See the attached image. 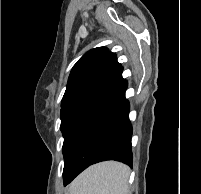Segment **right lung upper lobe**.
I'll return each mask as SVG.
<instances>
[{
	"mask_svg": "<svg viewBox=\"0 0 201 194\" xmlns=\"http://www.w3.org/2000/svg\"><path fill=\"white\" fill-rule=\"evenodd\" d=\"M123 67L105 47L85 53L71 70L61 106L78 100H93L124 79Z\"/></svg>",
	"mask_w": 201,
	"mask_h": 194,
	"instance_id": "right-lung-upper-lobe-1",
	"label": "right lung upper lobe"
}]
</instances>
